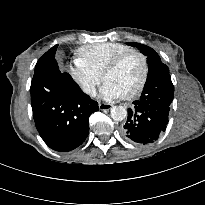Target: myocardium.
<instances>
[{"instance_id":"obj_1","label":"myocardium","mask_w":205,"mask_h":205,"mask_svg":"<svg viewBox=\"0 0 205 205\" xmlns=\"http://www.w3.org/2000/svg\"><path fill=\"white\" fill-rule=\"evenodd\" d=\"M132 55H135L140 59L141 65H142V73H141L140 80H139L138 84L136 85V87L132 91H130L122 96L125 99H132V98L136 97L144 89L146 82H147V79H148V76H149V64H148L147 57L142 52H140L138 50L130 49L128 51L120 53L115 58H113L106 65V67L103 69L102 74H101L102 79L105 81V77L108 73L114 71L116 68H118L120 66V64L126 58H128Z\"/></svg>"}]
</instances>
